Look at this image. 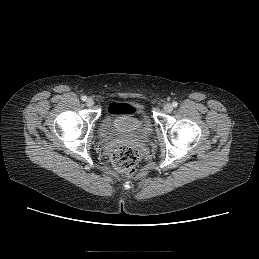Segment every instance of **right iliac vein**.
I'll return each mask as SVG.
<instances>
[{"instance_id": "1", "label": "right iliac vein", "mask_w": 259, "mask_h": 259, "mask_svg": "<svg viewBox=\"0 0 259 259\" xmlns=\"http://www.w3.org/2000/svg\"><path fill=\"white\" fill-rule=\"evenodd\" d=\"M86 105H87L88 107H92V106L94 105V100H93L92 98H88V99L86 100Z\"/></svg>"}]
</instances>
